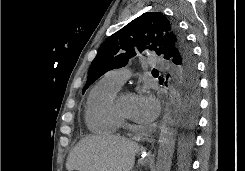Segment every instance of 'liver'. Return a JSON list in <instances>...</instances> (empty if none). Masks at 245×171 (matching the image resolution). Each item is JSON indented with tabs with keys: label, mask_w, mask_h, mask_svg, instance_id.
<instances>
[{
	"label": "liver",
	"mask_w": 245,
	"mask_h": 171,
	"mask_svg": "<svg viewBox=\"0 0 245 171\" xmlns=\"http://www.w3.org/2000/svg\"><path fill=\"white\" fill-rule=\"evenodd\" d=\"M139 145L120 136H88L67 158L68 171H131Z\"/></svg>",
	"instance_id": "liver-1"
}]
</instances>
